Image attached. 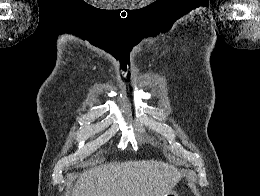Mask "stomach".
Segmentation results:
<instances>
[{
	"instance_id": "1",
	"label": "stomach",
	"mask_w": 260,
	"mask_h": 196,
	"mask_svg": "<svg viewBox=\"0 0 260 196\" xmlns=\"http://www.w3.org/2000/svg\"><path fill=\"white\" fill-rule=\"evenodd\" d=\"M178 191H172L171 193H162L161 196H178Z\"/></svg>"
}]
</instances>
